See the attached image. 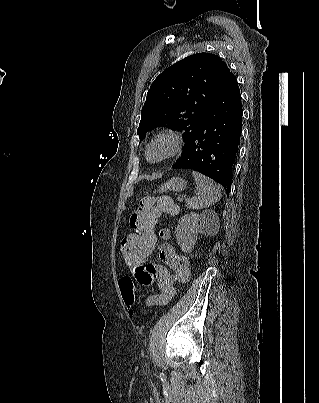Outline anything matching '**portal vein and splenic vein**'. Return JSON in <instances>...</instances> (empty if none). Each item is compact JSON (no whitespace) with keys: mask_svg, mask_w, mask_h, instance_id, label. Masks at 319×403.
Here are the masks:
<instances>
[{"mask_svg":"<svg viewBox=\"0 0 319 403\" xmlns=\"http://www.w3.org/2000/svg\"><path fill=\"white\" fill-rule=\"evenodd\" d=\"M182 200H183V197H182V198H181V197L178 198V201H182Z\"/></svg>","mask_w":319,"mask_h":403,"instance_id":"1","label":"portal vein and splenic vein"}]
</instances>
